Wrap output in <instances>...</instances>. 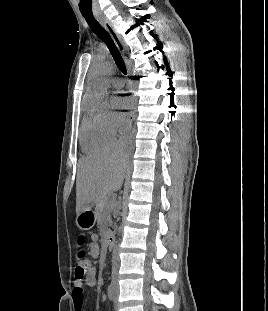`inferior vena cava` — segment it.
Returning a JSON list of instances; mask_svg holds the SVG:
<instances>
[{"mask_svg":"<svg viewBox=\"0 0 268 311\" xmlns=\"http://www.w3.org/2000/svg\"><path fill=\"white\" fill-rule=\"evenodd\" d=\"M119 147H122L123 146V142H120ZM124 147V146H123ZM113 271H112V276L115 277L116 276V267H117V262H118V256H117V252L114 251L113 252Z\"/></svg>","mask_w":268,"mask_h":311,"instance_id":"obj_1","label":"inferior vena cava"}]
</instances>
